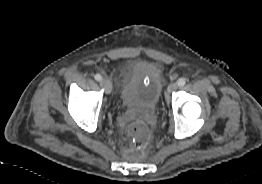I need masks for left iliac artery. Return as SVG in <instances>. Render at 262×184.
I'll return each mask as SVG.
<instances>
[{
    "mask_svg": "<svg viewBox=\"0 0 262 184\" xmlns=\"http://www.w3.org/2000/svg\"><path fill=\"white\" fill-rule=\"evenodd\" d=\"M177 84H178L179 87H183L186 84V80L184 78H180L177 81Z\"/></svg>",
    "mask_w": 262,
    "mask_h": 184,
    "instance_id": "left-iliac-artery-1",
    "label": "left iliac artery"
}]
</instances>
